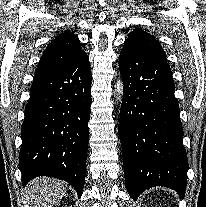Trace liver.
<instances>
[{
  "instance_id": "liver-1",
  "label": "liver",
  "mask_w": 206,
  "mask_h": 207,
  "mask_svg": "<svg viewBox=\"0 0 206 207\" xmlns=\"http://www.w3.org/2000/svg\"><path fill=\"white\" fill-rule=\"evenodd\" d=\"M65 184L48 177L35 178L27 185L28 201L33 207H53L65 194Z\"/></svg>"
}]
</instances>
